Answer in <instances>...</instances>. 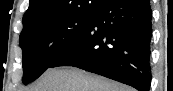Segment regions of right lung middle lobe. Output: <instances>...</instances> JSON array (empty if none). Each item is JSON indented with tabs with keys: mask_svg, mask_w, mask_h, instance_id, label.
Here are the masks:
<instances>
[{
	"mask_svg": "<svg viewBox=\"0 0 173 91\" xmlns=\"http://www.w3.org/2000/svg\"><path fill=\"white\" fill-rule=\"evenodd\" d=\"M101 2V1H97ZM94 10L40 21L22 30L23 83L37 79L89 27Z\"/></svg>",
	"mask_w": 173,
	"mask_h": 91,
	"instance_id": "right-lung-middle-lobe-1",
	"label": "right lung middle lobe"
}]
</instances>
